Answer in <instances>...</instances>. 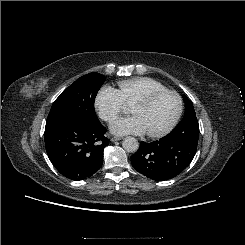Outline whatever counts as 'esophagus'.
<instances>
[{
  "label": "esophagus",
  "instance_id": "34e87169",
  "mask_svg": "<svg viewBox=\"0 0 245 245\" xmlns=\"http://www.w3.org/2000/svg\"><path fill=\"white\" fill-rule=\"evenodd\" d=\"M112 142L121 140V137L114 136L110 139Z\"/></svg>",
  "mask_w": 245,
  "mask_h": 245
}]
</instances>
